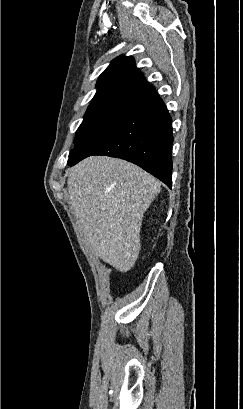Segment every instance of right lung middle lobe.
Instances as JSON below:
<instances>
[{
    "label": "right lung middle lobe",
    "mask_w": 243,
    "mask_h": 409,
    "mask_svg": "<svg viewBox=\"0 0 243 409\" xmlns=\"http://www.w3.org/2000/svg\"><path fill=\"white\" fill-rule=\"evenodd\" d=\"M122 102L120 100L91 101L84 120L76 132L74 149L96 131L117 110Z\"/></svg>",
    "instance_id": "1"
}]
</instances>
